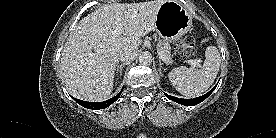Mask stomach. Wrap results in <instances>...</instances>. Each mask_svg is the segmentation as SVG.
I'll use <instances>...</instances> for the list:
<instances>
[{"mask_svg": "<svg viewBox=\"0 0 276 138\" xmlns=\"http://www.w3.org/2000/svg\"><path fill=\"white\" fill-rule=\"evenodd\" d=\"M192 26V17L178 2L166 0L158 9L155 30L166 41H176Z\"/></svg>", "mask_w": 276, "mask_h": 138, "instance_id": "0dacf381", "label": "stomach"}]
</instances>
